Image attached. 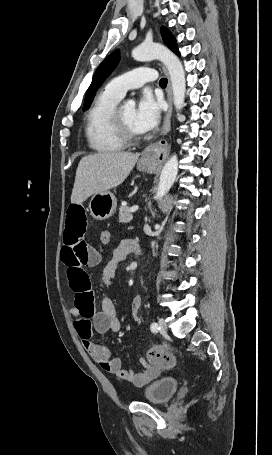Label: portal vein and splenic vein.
<instances>
[{"mask_svg": "<svg viewBox=\"0 0 272 455\" xmlns=\"http://www.w3.org/2000/svg\"><path fill=\"white\" fill-rule=\"evenodd\" d=\"M138 208H139L138 206H133L130 208V211L134 213L138 210Z\"/></svg>", "mask_w": 272, "mask_h": 455, "instance_id": "18ae733b", "label": "portal vein and splenic vein"}]
</instances>
